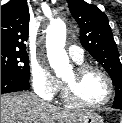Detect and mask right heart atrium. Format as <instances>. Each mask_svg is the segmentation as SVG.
I'll use <instances>...</instances> for the list:
<instances>
[{
  "instance_id": "d8ad5b80",
  "label": "right heart atrium",
  "mask_w": 122,
  "mask_h": 123,
  "mask_svg": "<svg viewBox=\"0 0 122 123\" xmlns=\"http://www.w3.org/2000/svg\"><path fill=\"white\" fill-rule=\"evenodd\" d=\"M30 76L34 91L44 99H52L61 88L60 81L39 61L31 63Z\"/></svg>"
}]
</instances>
